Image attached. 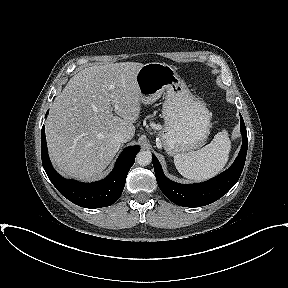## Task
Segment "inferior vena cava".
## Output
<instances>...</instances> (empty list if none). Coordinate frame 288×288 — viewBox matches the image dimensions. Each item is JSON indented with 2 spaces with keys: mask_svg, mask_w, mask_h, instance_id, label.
Masks as SVG:
<instances>
[{
  "mask_svg": "<svg viewBox=\"0 0 288 288\" xmlns=\"http://www.w3.org/2000/svg\"><path fill=\"white\" fill-rule=\"evenodd\" d=\"M115 140L118 141V142L123 143V142H125V136L123 134H121V133H118V134L115 135Z\"/></svg>",
  "mask_w": 288,
  "mask_h": 288,
  "instance_id": "602c4592",
  "label": "inferior vena cava"
}]
</instances>
